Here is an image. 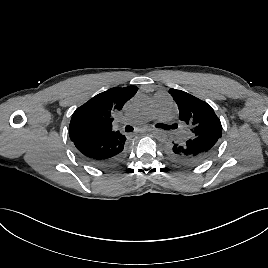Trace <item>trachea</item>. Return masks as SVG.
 <instances>
[{
	"label": "trachea",
	"instance_id": "obj_1",
	"mask_svg": "<svg viewBox=\"0 0 268 268\" xmlns=\"http://www.w3.org/2000/svg\"><path fill=\"white\" fill-rule=\"evenodd\" d=\"M156 127H160V128H164V129H168V128H169L168 126H166V125H164V124H156ZM125 131H126V132L133 131V127L127 125V126L125 127Z\"/></svg>",
	"mask_w": 268,
	"mask_h": 268
}]
</instances>
